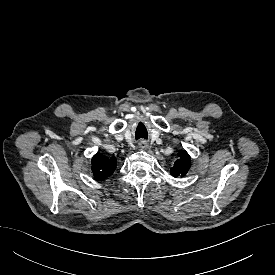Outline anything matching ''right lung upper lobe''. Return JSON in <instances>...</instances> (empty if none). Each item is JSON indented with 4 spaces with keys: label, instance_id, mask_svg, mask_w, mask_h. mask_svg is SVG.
<instances>
[{
    "label": "right lung upper lobe",
    "instance_id": "1",
    "mask_svg": "<svg viewBox=\"0 0 275 275\" xmlns=\"http://www.w3.org/2000/svg\"><path fill=\"white\" fill-rule=\"evenodd\" d=\"M115 168V157L107 158L98 152L92 158V171L97 180L106 179L114 172Z\"/></svg>",
    "mask_w": 275,
    "mask_h": 275
}]
</instances>
